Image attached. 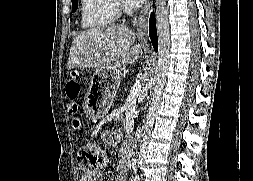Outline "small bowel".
Listing matches in <instances>:
<instances>
[{
	"instance_id": "small-bowel-1",
	"label": "small bowel",
	"mask_w": 253,
	"mask_h": 181,
	"mask_svg": "<svg viewBox=\"0 0 253 181\" xmlns=\"http://www.w3.org/2000/svg\"><path fill=\"white\" fill-rule=\"evenodd\" d=\"M102 139L107 145H113L115 141V134L111 130H105L102 133ZM116 178L118 181H127L129 172V152L124 150L121 159L116 162ZM104 177L102 173L95 176H82L81 181H96L101 180Z\"/></svg>"
}]
</instances>
